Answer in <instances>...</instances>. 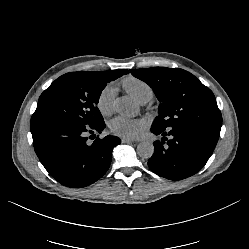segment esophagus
<instances>
[{"mask_svg":"<svg viewBox=\"0 0 249 249\" xmlns=\"http://www.w3.org/2000/svg\"><path fill=\"white\" fill-rule=\"evenodd\" d=\"M121 141H122V143H132V142H133L132 139L127 138V137H123V138L121 139Z\"/></svg>","mask_w":249,"mask_h":249,"instance_id":"1","label":"esophagus"}]
</instances>
